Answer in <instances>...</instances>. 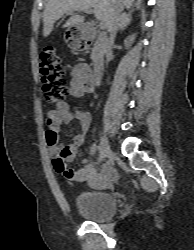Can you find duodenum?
<instances>
[{"mask_svg": "<svg viewBox=\"0 0 194 250\" xmlns=\"http://www.w3.org/2000/svg\"><path fill=\"white\" fill-rule=\"evenodd\" d=\"M85 27L87 29H92L93 28V24H90L89 22H87V23H85ZM102 74H103L102 64L100 62H97L94 65V68H93L92 74H91L92 83L94 85L95 84H99L101 82Z\"/></svg>", "mask_w": 194, "mask_h": 250, "instance_id": "obj_1", "label": "duodenum"}]
</instances>
